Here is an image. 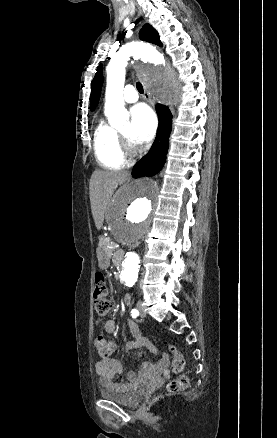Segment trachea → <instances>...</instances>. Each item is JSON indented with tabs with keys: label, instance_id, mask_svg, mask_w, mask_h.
<instances>
[{
	"label": "trachea",
	"instance_id": "trachea-1",
	"mask_svg": "<svg viewBox=\"0 0 277 438\" xmlns=\"http://www.w3.org/2000/svg\"><path fill=\"white\" fill-rule=\"evenodd\" d=\"M136 88H137L139 93H143V86L140 82L136 83Z\"/></svg>",
	"mask_w": 277,
	"mask_h": 438
}]
</instances>
